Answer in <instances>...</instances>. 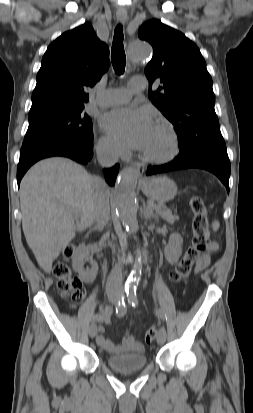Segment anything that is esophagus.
<instances>
[{"label": "esophagus", "mask_w": 253, "mask_h": 413, "mask_svg": "<svg viewBox=\"0 0 253 413\" xmlns=\"http://www.w3.org/2000/svg\"><path fill=\"white\" fill-rule=\"evenodd\" d=\"M126 19H127V14H126L125 12H118V13H117V20H118L120 23H124V22L126 21ZM136 172H137V174L141 177L142 174H143V172H144V165L138 164V165L136 166Z\"/></svg>", "instance_id": "esophagus-1"}]
</instances>
